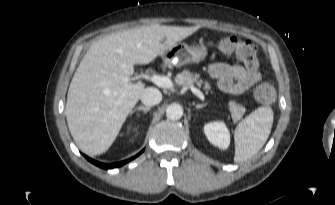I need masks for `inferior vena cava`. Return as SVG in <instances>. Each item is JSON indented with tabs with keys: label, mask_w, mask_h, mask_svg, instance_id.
I'll list each match as a JSON object with an SVG mask.
<instances>
[{
	"label": "inferior vena cava",
	"mask_w": 335,
	"mask_h": 205,
	"mask_svg": "<svg viewBox=\"0 0 335 205\" xmlns=\"http://www.w3.org/2000/svg\"><path fill=\"white\" fill-rule=\"evenodd\" d=\"M140 100L146 106L151 107L161 102L162 94L157 88L148 87L141 93Z\"/></svg>",
	"instance_id": "inferior-vena-cava-1"
}]
</instances>
